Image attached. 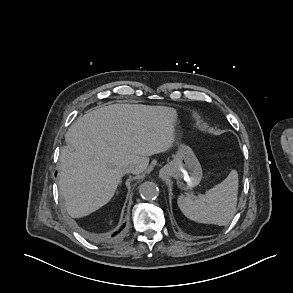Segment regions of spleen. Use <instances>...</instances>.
Instances as JSON below:
<instances>
[{"label": "spleen", "instance_id": "3e777b00", "mask_svg": "<svg viewBox=\"0 0 293 293\" xmlns=\"http://www.w3.org/2000/svg\"><path fill=\"white\" fill-rule=\"evenodd\" d=\"M238 173L232 170L227 178L199 197L180 195L178 206L182 213L198 223L225 226L236 213Z\"/></svg>", "mask_w": 293, "mask_h": 293}]
</instances>
